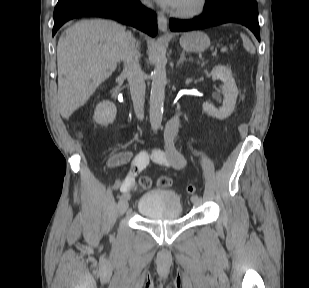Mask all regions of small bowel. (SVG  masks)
Segmentation results:
<instances>
[{
  "mask_svg": "<svg viewBox=\"0 0 309 288\" xmlns=\"http://www.w3.org/2000/svg\"><path fill=\"white\" fill-rule=\"evenodd\" d=\"M179 119L180 113L177 112L167 122L164 133L165 146L163 149H154L150 153L141 151L135 156L130 151H124L116 153L111 158V164L114 166L131 163V170L119 183L121 191L131 192L139 189L135 182L136 175L145 169L149 160L174 170H182L185 167V157L175 147V138L179 130ZM141 188L144 187L141 186Z\"/></svg>",
  "mask_w": 309,
  "mask_h": 288,
  "instance_id": "1",
  "label": "small bowel"
}]
</instances>
